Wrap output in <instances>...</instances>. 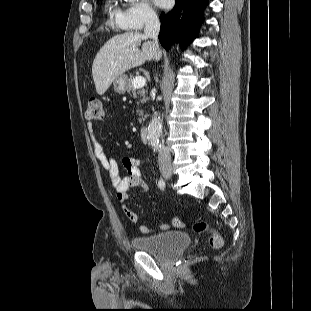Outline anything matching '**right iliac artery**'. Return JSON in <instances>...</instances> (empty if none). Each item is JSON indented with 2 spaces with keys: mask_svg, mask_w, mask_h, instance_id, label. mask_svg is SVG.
Segmentation results:
<instances>
[{
  "mask_svg": "<svg viewBox=\"0 0 311 311\" xmlns=\"http://www.w3.org/2000/svg\"><path fill=\"white\" fill-rule=\"evenodd\" d=\"M165 186H166L165 181L161 178V179L158 181V187H159L160 189L164 190V189H165Z\"/></svg>",
  "mask_w": 311,
  "mask_h": 311,
  "instance_id": "right-iliac-artery-1",
  "label": "right iliac artery"
}]
</instances>
